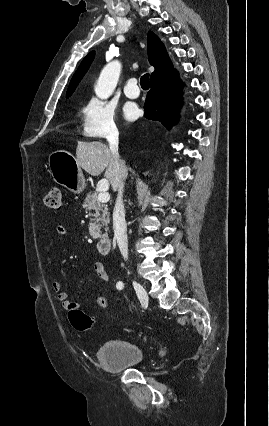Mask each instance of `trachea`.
Here are the masks:
<instances>
[{
    "label": "trachea",
    "mask_w": 269,
    "mask_h": 426,
    "mask_svg": "<svg viewBox=\"0 0 269 426\" xmlns=\"http://www.w3.org/2000/svg\"><path fill=\"white\" fill-rule=\"evenodd\" d=\"M140 85L142 88H149V74H144L140 79Z\"/></svg>",
    "instance_id": "3493384b"
}]
</instances>
